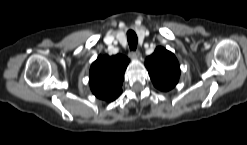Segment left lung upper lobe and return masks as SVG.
<instances>
[{"mask_svg": "<svg viewBox=\"0 0 247 145\" xmlns=\"http://www.w3.org/2000/svg\"><path fill=\"white\" fill-rule=\"evenodd\" d=\"M145 66L156 88L168 91L175 87L180 76V66L173 53L163 47H157L147 57Z\"/></svg>", "mask_w": 247, "mask_h": 145, "instance_id": "1", "label": "left lung upper lobe"}]
</instances>
